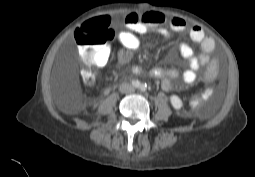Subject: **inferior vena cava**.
Wrapping results in <instances>:
<instances>
[{
	"label": "inferior vena cava",
	"mask_w": 255,
	"mask_h": 177,
	"mask_svg": "<svg viewBox=\"0 0 255 177\" xmlns=\"http://www.w3.org/2000/svg\"><path fill=\"white\" fill-rule=\"evenodd\" d=\"M120 91L125 94H130L134 91V87L131 84L123 83L120 86Z\"/></svg>",
	"instance_id": "1"
}]
</instances>
